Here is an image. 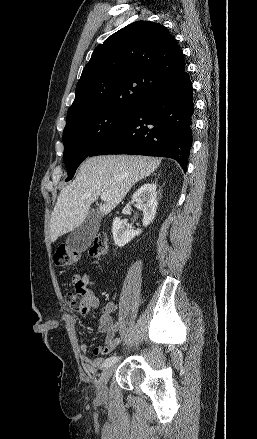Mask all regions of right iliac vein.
I'll return each instance as SVG.
<instances>
[{"label":"right iliac vein","mask_w":257,"mask_h":439,"mask_svg":"<svg viewBox=\"0 0 257 439\" xmlns=\"http://www.w3.org/2000/svg\"><path fill=\"white\" fill-rule=\"evenodd\" d=\"M114 366L105 367L101 373L98 385H97V399L104 400L107 397V382L109 381Z\"/></svg>","instance_id":"63e3f726"}]
</instances>
